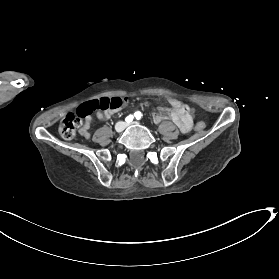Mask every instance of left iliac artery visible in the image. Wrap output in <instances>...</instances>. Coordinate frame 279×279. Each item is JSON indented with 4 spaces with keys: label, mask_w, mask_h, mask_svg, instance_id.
I'll return each mask as SVG.
<instances>
[{
    "label": "left iliac artery",
    "mask_w": 279,
    "mask_h": 279,
    "mask_svg": "<svg viewBox=\"0 0 279 279\" xmlns=\"http://www.w3.org/2000/svg\"><path fill=\"white\" fill-rule=\"evenodd\" d=\"M134 116H135V118L137 119V120H140L141 118H142V114H141V112H136L135 114H134Z\"/></svg>",
    "instance_id": "1"
}]
</instances>
